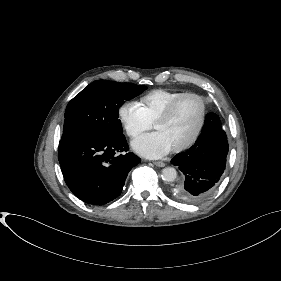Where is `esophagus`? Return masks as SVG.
<instances>
[{
  "label": "esophagus",
  "mask_w": 281,
  "mask_h": 281,
  "mask_svg": "<svg viewBox=\"0 0 281 281\" xmlns=\"http://www.w3.org/2000/svg\"><path fill=\"white\" fill-rule=\"evenodd\" d=\"M153 164L157 167H164L165 166V163H163L161 161H155V162H153Z\"/></svg>",
  "instance_id": "1"
}]
</instances>
